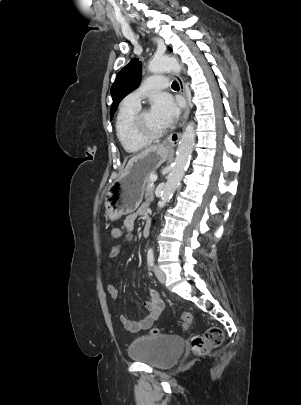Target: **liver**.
Wrapping results in <instances>:
<instances>
[{
  "instance_id": "obj_1",
  "label": "liver",
  "mask_w": 301,
  "mask_h": 405,
  "mask_svg": "<svg viewBox=\"0 0 301 405\" xmlns=\"http://www.w3.org/2000/svg\"><path fill=\"white\" fill-rule=\"evenodd\" d=\"M157 146H158V145L150 146V147L146 148L144 151H142L140 154H138V155L132 157V158L129 160V162H128L126 168L131 164V162H132L133 160H135L136 158H138V157H140V156L146 154L147 152H149V151L155 149Z\"/></svg>"
}]
</instances>
